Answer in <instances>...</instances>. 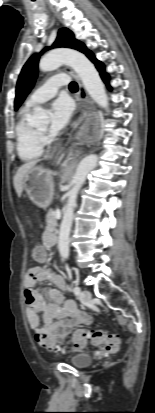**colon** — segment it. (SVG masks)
<instances>
[{
	"label": "colon",
	"mask_w": 155,
	"mask_h": 413,
	"mask_svg": "<svg viewBox=\"0 0 155 413\" xmlns=\"http://www.w3.org/2000/svg\"><path fill=\"white\" fill-rule=\"evenodd\" d=\"M30 256L38 263H43L47 258L45 249L40 245L34 246L31 249ZM38 343L48 350L60 352V349L56 347L53 341L41 339ZM87 343L99 347L103 353H114L119 348V338L117 335L101 330L89 329L78 330L75 333L72 349L77 350Z\"/></svg>",
	"instance_id": "obj_1"
}]
</instances>
